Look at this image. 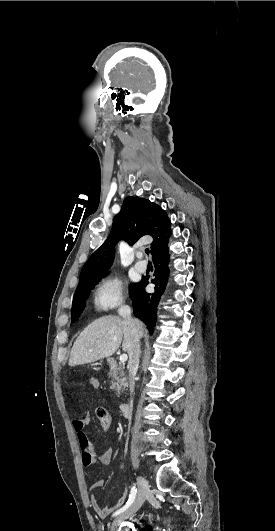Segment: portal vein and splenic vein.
Listing matches in <instances>:
<instances>
[{"mask_svg":"<svg viewBox=\"0 0 275 531\" xmlns=\"http://www.w3.org/2000/svg\"><path fill=\"white\" fill-rule=\"evenodd\" d=\"M127 359H128L127 355H120L119 361H120V363H125V361H127Z\"/></svg>","mask_w":275,"mask_h":531,"instance_id":"18ae733b","label":"portal vein and splenic vein"}]
</instances>
